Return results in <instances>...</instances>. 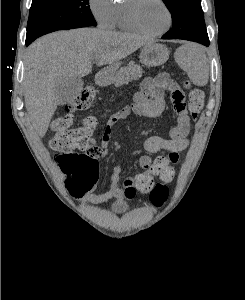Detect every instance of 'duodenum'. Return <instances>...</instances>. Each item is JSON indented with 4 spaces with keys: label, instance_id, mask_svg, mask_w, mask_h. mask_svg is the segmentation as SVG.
Masks as SVG:
<instances>
[{
    "label": "duodenum",
    "instance_id": "1",
    "mask_svg": "<svg viewBox=\"0 0 245 300\" xmlns=\"http://www.w3.org/2000/svg\"><path fill=\"white\" fill-rule=\"evenodd\" d=\"M107 79H108L107 74L104 73V72L99 73V74L97 75V77H96V81H97V83L100 84V85L105 84L106 81H107Z\"/></svg>",
    "mask_w": 245,
    "mask_h": 300
}]
</instances>
